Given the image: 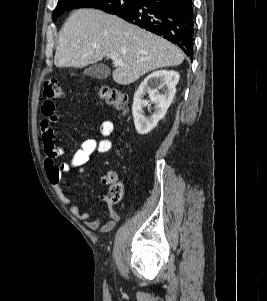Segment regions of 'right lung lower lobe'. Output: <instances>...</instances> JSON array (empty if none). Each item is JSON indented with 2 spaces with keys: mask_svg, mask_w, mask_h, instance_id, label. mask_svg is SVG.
<instances>
[{
  "mask_svg": "<svg viewBox=\"0 0 267 301\" xmlns=\"http://www.w3.org/2000/svg\"><path fill=\"white\" fill-rule=\"evenodd\" d=\"M117 15L173 42L192 59V0H138L130 10Z\"/></svg>",
  "mask_w": 267,
  "mask_h": 301,
  "instance_id": "98d812e1",
  "label": "right lung lower lobe"
}]
</instances>
